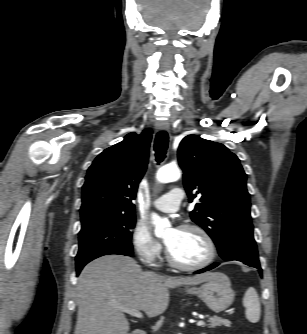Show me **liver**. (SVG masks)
I'll list each match as a JSON object with an SVG mask.
<instances>
[{"instance_id": "1", "label": "liver", "mask_w": 307, "mask_h": 334, "mask_svg": "<svg viewBox=\"0 0 307 334\" xmlns=\"http://www.w3.org/2000/svg\"><path fill=\"white\" fill-rule=\"evenodd\" d=\"M213 277H166L145 272L131 257L106 255L88 263L77 283L78 317L74 334H128L129 322L119 307L148 317L165 312L170 288L197 285Z\"/></svg>"}]
</instances>
